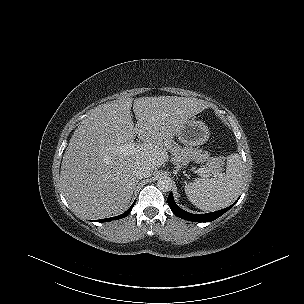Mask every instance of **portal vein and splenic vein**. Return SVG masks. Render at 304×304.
I'll list each match as a JSON object with an SVG mask.
<instances>
[{
	"instance_id": "18ae733b",
	"label": "portal vein and splenic vein",
	"mask_w": 304,
	"mask_h": 304,
	"mask_svg": "<svg viewBox=\"0 0 304 304\" xmlns=\"http://www.w3.org/2000/svg\"><path fill=\"white\" fill-rule=\"evenodd\" d=\"M137 146L136 143H130V144H127V145H123V146H120L119 147V150L122 152V153H126L128 152L129 150H133L135 149ZM199 173H209V172H212L214 176L216 175H220V173L217 171V170H213V171H210V170H206L204 168H201V169H198L197 170Z\"/></svg>"
}]
</instances>
